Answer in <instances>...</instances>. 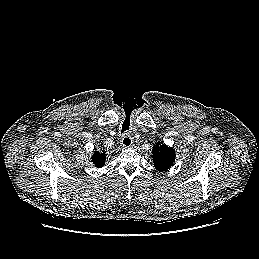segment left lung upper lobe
<instances>
[{
  "mask_svg": "<svg viewBox=\"0 0 259 259\" xmlns=\"http://www.w3.org/2000/svg\"><path fill=\"white\" fill-rule=\"evenodd\" d=\"M175 155L173 148L157 142L152 149L154 167L158 171H166L173 165Z\"/></svg>",
  "mask_w": 259,
  "mask_h": 259,
  "instance_id": "5c2ea615",
  "label": "left lung upper lobe"
}]
</instances>
